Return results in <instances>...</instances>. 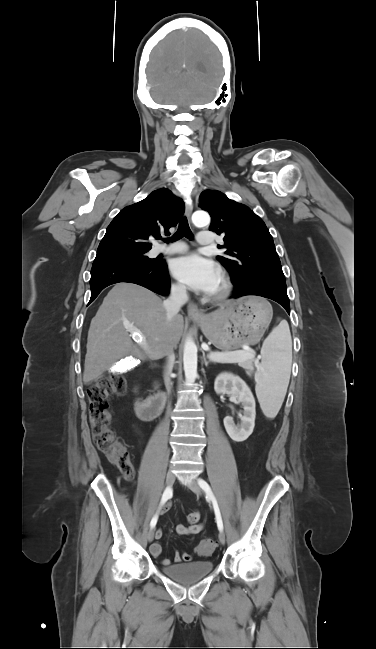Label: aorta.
<instances>
[{
  "instance_id": "1",
  "label": "aorta",
  "mask_w": 376,
  "mask_h": 649,
  "mask_svg": "<svg viewBox=\"0 0 376 649\" xmlns=\"http://www.w3.org/2000/svg\"><path fill=\"white\" fill-rule=\"evenodd\" d=\"M192 221L197 227H204L209 225L210 216L204 211H197L192 215ZM197 346L195 342L188 338L184 344L183 350V366L185 372L186 382L192 384L197 378Z\"/></svg>"
}]
</instances>
